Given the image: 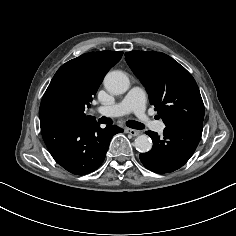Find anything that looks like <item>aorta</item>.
Returning <instances> with one entry per match:
<instances>
[{
    "label": "aorta",
    "instance_id": "1",
    "mask_svg": "<svg viewBox=\"0 0 236 236\" xmlns=\"http://www.w3.org/2000/svg\"><path fill=\"white\" fill-rule=\"evenodd\" d=\"M104 86L108 92L119 95L129 89L130 81L122 71H111L104 78ZM134 146L139 152L146 153L152 148V140L148 135L142 134L135 139Z\"/></svg>",
    "mask_w": 236,
    "mask_h": 236
}]
</instances>
